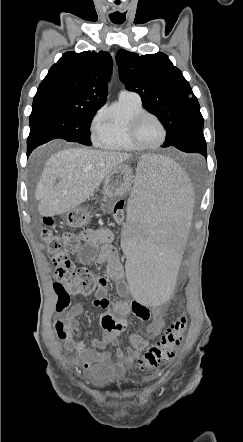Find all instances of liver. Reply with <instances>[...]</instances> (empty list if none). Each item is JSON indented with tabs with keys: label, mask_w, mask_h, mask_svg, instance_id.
<instances>
[{
	"label": "liver",
	"mask_w": 243,
	"mask_h": 442,
	"mask_svg": "<svg viewBox=\"0 0 243 442\" xmlns=\"http://www.w3.org/2000/svg\"><path fill=\"white\" fill-rule=\"evenodd\" d=\"M129 158L126 153L90 148H69L55 153L46 162L36 187L40 215L55 216L75 209L113 169Z\"/></svg>",
	"instance_id": "6515ba94"
}]
</instances>
